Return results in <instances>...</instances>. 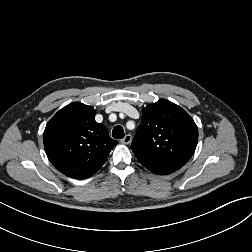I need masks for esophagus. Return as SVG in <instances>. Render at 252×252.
<instances>
[{"label":"esophagus","mask_w":252,"mask_h":252,"mask_svg":"<svg viewBox=\"0 0 252 252\" xmlns=\"http://www.w3.org/2000/svg\"><path fill=\"white\" fill-rule=\"evenodd\" d=\"M132 141V136L130 134H127L122 140L121 143L123 144H130Z\"/></svg>","instance_id":"obj_1"}]
</instances>
